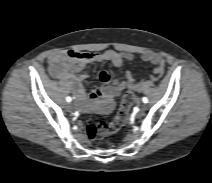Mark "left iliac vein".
Here are the masks:
<instances>
[{
  "mask_svg": "<svg viewBox=\"0 0 212 183\" xmlns=\"http://www.w3.org/2000/svg\"><path fill=\"white\" fill-rule=\"evenodd\" d=\"M147 109V105L146 104H143L142 106H141V111H145Z\"/></svg>",
  "mask_w": 212,
  "mask_h": 183,
  "instance_id": "1",
  "label": "left iliac vein"
}]
</instances>
